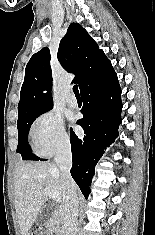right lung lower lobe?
<instances>
[{"mask_svg": "<svg viewBox=\"0 0 155 235\" xmlns=\"http://www.w3.org/2000/svg\"><path fill=\"white\" fill-rule=\"evenodd\" d=\"M82 119L77 121L84 129L78 138L70 129L73 166L71 175L85 198H88L95 166L104 149L118 137L121 123V88L114 70L85 85L80 90Z\"/></svg>", "mask_w": 155, "mask_h": 235, "instance_id": "right-lung-lower-lobe-1", "label": "right lung lower lobe"}]
</instances>
